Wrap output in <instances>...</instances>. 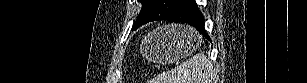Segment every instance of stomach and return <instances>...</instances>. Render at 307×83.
Returning a JSON list of instances; mask_svg holds the SVG:
<instances>
[{
  "mask_svg": "<svg viewBox=\"0 0 307 83\" xmlns=\"http://www.w3.org/2000/svg\"><path fill=\"white\" fill-rule=\"evenodd\" d=\"M201 44V36L190 27L167 25L150 32L141 43V53L147 59L170 63L188 56Z\"/></svg>",
  "mask_w": 307,
  "mask_h": 83,
  "instance_id": "obj_1",
  "label": "stomach"
}]
</instances>
